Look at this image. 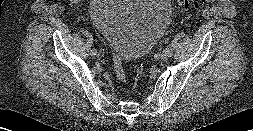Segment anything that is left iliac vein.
I'll list each match as a JSON object with an SVG mask.
<instances>
[{
  "instance_id": "4c4485c4",
  "label": "left iliac vein",
  "mask_w": 253,
  "mask_h": 131,
  "mask_svg": "<svg viewBox=\"0 0 253 131\" xmlns=\"http://www.w3.org/2000/svg\"><path fill=\"white\" fill-rule=\"evenodd\" d=\"M172 51L170 53H167L165 50H163L160 54V57L162 60H167L169 57H171Z\"/></svg>"
}]
</instances>
